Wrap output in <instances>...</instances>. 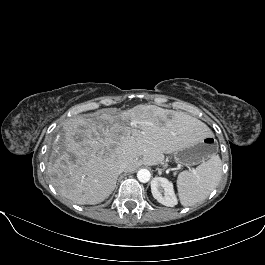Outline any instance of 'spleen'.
<instances>
[{
    "mask_svg": "<svg viewBox=\"0 0 265 265\" xmlns=\"http://www.w3.org/2000/svg\"><path fill=\"white\" fill-rule=\"evenodd\" d=\"M222 163L218 155H213L192 171H183L177 177L180 203L189 207L205 200L220 182Z\"/></svg>",
    "mask_w": 265,
    "mask_h": 265,
    "instance_id": "1",
    "label": "spleen"
}]
</instances>
